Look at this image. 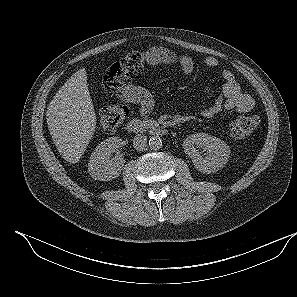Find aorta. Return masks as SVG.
<instances>
[{
  "label": "aorta",
  "instance_id": "762f6f07",
  "mask_svg": "<svg viewBox=\"0 0 297 297\" xmlns=\"http://www.w3.org/2000/svg\"><path fill=\"white\" fill-rule=\"evenodd\" d=\"M149 147L152 150H159L162 147V140L158 136H153L149 139Z\"/></svg>",
  "mask_w": 297,
  "mask_h": 297
}]
</instances>
